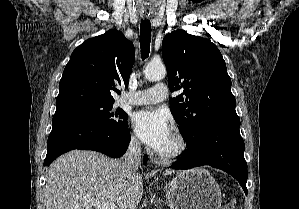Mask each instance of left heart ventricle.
Segmentation results:
<instances>
[{
    "label": "left heart ventricle",
    "mask_w": 299,
    "mask_h": 209,
    "mask_svg": "<svg viewBox=\"0 0 299 209\" xmlns=\"http://www.w3.org/2000/svg\"><path fill=\"white\" fill-rule=\"evenodd\" d=\"M174 146H175V140L171 133L170 136L168 137V139L166 140V142L157 151L166 152V151L173 149Z\"/></svg>",
    "instance_id": "b2bd125f"
}]
</instances>
